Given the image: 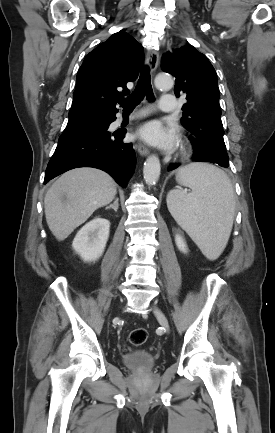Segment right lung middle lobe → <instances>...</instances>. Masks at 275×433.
Listing matches in <instances>:
<instances>
[{
	"instance_id": "1",
	"label": "right lung middle lobe",
	"mask_w": 275,
	"mask_h": 433,
	"mask_svg": "<svg viewBox=\"0 0 275 433\" xmlns=\"http://www.w3.org/2000/svg\"><path fill=\"white\" fill-rule=\"evenodd\" d=\"M105 120L107 119L106 116L104 115H88V116L72 118L69 119L65 130L83 126V125H91V124L104 125V123H99V122Z\"/></svg>"
}]
</instances>
